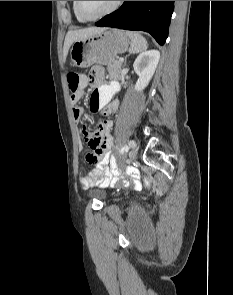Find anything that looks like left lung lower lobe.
<instances>
[{"instance_id": "obj_1", "label": "left lung lower lobe", "mask_w": 233, "mask_h": 295, "mask_svg": "<svg viewBox=\"0 0 233 295\" xmlns=\"http://www.w3.org/2000/svg\"><path fill=\"white\" fill-rule=\"evenodd\" d=\"M174 9V1H125L115 12L95 23L99 27H113L150 33L163 45Z\"/></svg>"}]
</instances>
